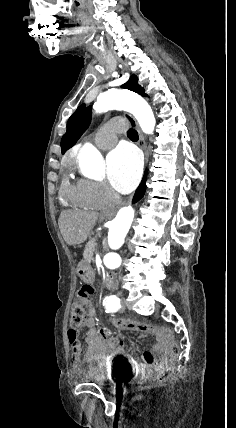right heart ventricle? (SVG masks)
<instances>
[{
  "label": "right heart ventricle",
  "instance_id": "obj_1",
  "mask_svg": "<svg viewBox=\"0 0 236 428\" xmlns=\"http://www.w3.org/2000/svg\"><path fill=\"white\" fill-rule=\"evenodd\" d=\"M81 159V158H80ZM80 159L66 163L67 176L64 178L60 193L67 200L87 209H99L102 204L95 200L86 190L85 180H73L71 172L74 166L80 163Z\"/></svg>",
  "mask_w": 236,
  "mask_h": 428
}]
</instances>
